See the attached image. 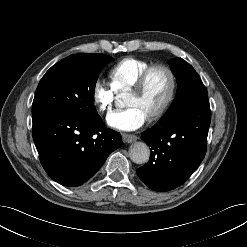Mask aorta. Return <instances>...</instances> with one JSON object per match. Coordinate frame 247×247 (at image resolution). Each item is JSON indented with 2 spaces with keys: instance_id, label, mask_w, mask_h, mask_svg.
<instances>
[{
  "instance_id": "aorta-1",
  "label": "aorta",
  "mask_w": 247,
  "mask_h": 247,
  "mask_svg": "<svg viewBox=\"0 0 247 247\" xmlns=\"http://www.w3.org/2000/svg\"><path fill=\"white\" fill-rule=\"evenodd\" d=\"M129 156L136 164H145L150 158V149L144 142H135L129 148Z\"/></svg>"
}]
</instances>
